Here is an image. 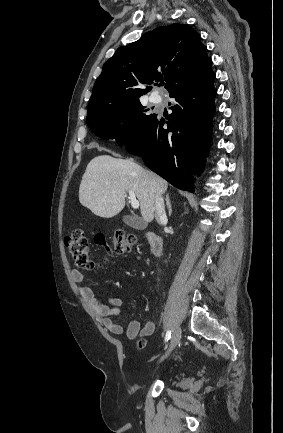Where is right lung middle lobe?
<instances>
[{
    "mask_svg": "<svg viewBox=\"0 0 283 433\" xmlns=\"http://www.w3.org/2000/svg\"><path fill=\"white\" fill-rule=\"evenodd\" d=\"M147 111L140 101H134L91 113L87 124L97 136L116 139L128 147L145 134L155 118L156 114L148 115Z\"/></svg>",
    "mask_w": 283,
    "mask_h": 433,
    "instance_id": "obj_1",
    "label": "right lung middle lobe"
}]
</instances>
